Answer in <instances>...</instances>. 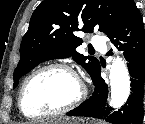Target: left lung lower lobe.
<instances>
[{"label":"left lung lower lobe","instance_id":"left-lung-lower-lobe-1","mask_svg":"<svg viewBox=\"0 0 145 124\" xmlns=\"http://www.w3.org/2000/svg\"><path fill=\"white\" fill-rule=\"evenodd\" d=\"M112 43L124 51L128 61L131 80V94L127 103L113 112L106 103L108 86L101 78L99 67L93 80V95L83 104L67 113L68 116H86L104 119L112 124H142L143 96L145 82V31L142 16L133 5L124 21L110 37Z\"/></svg>","mask_w":145,"mask_h":124}]
</instances>
